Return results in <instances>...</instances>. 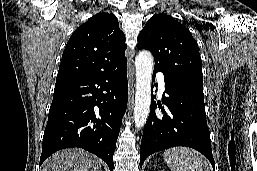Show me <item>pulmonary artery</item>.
<instances>
[{
  "instance_id": "pulmonary-artery-1",
  "label": "pulmonary artery",
  "mask_w": 257,
  "mask_h": 171,
  "mask_svg": "<svg viewBox=\"0 0 257 171\" xmlns=\"http://www.w3.org/2000/svg\"><path fill=\"white\" fill-rule=\"evenodd\" d=\"M158 81H159V89L161 92H164L165 90V83H164V76L163 74L157 75Z\"/></svg>"
}]
</instances>
